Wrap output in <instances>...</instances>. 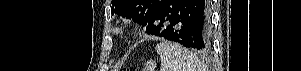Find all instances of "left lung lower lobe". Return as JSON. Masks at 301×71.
<instances>
[{
	"label": "left lung lower lobe",
	"mask_w": 301,
	"mask_h": 71,
	"mask_svg": "<svg viewBox=\"0 0 301 71\" xmlns=\"http://www.w3.org/2000/svg\"><path fill=\"white\" fill-rule=\"evenodd\" d=\"M148 25L147 34L206 50L210 46L208 0H161Z\"/></svg>",
	"instance_id": "left-lung-lower-lobe-1"
}]
</instances>
